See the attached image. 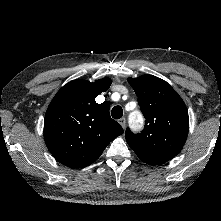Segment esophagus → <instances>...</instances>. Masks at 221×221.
<instances>
[{
    "label": "esophagus",
    "instance_id": "obj_1",
    "mask_svg": "<svg viewBox=\"0 0 221 221\" xmlns=\"http://www.w3.org/2000/svg\"><path fill=\"white\" fill-rule=\"evenodd\" d=\"M119 124L122 126V128L124 129L126 126V119L123 117L121 119H119Z\"/></svg>",
    "mask_w": 221,
    "mask_h": 221
}]
</instances>
